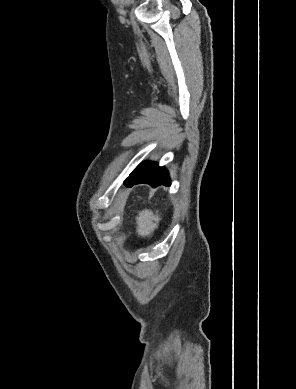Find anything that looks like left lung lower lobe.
Wrapping results in <instances>:
<instances>
[{"mask_svg":"<svg viewBox=\"0 0 296 389\" xmlns=\"http://www.w3.org/2000/svg\"><path fill=\"white\" fill-rule=\"evenodd\" d=\"M169 173L165 167H159L156 162H143L124 181L127 187L140 183L150 184L152 187L159 185L170 186Z\"/></svg>","mask_w":296,"mask_h":389,"instance_id":"0a47b994","label":"left lung lower lobe"}]
</instances>
